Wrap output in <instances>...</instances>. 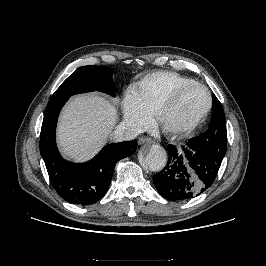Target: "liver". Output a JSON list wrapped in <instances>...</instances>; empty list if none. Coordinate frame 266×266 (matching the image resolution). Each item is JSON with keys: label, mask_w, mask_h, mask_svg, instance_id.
Masks as SVG:
<instances>
[{"label": "liver", "mask_w": 266, "mask_h": 266, "mask_svg": "<svg viewBox=\"0 0 266 266\" xmlns=\"http://www.w3.org/2000/svg\"><path fill=\"white\" fill-rule=\"evenodd\" d=\"M117 118L116 106L98 94L72 98L58 124L61 151L76 161L92 158L110 137Z\"/></svg>", "instance_id": "obj_1"}]
</instances>
